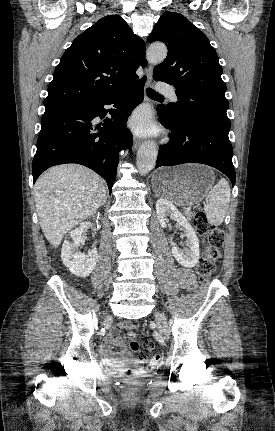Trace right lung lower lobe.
Here are the masks:
<instances>
[{
    "instance_id": "right-lung-lower-lobe-1",
    "label": "right lung lower lobe",
    "mask_w": 275,
    "mask_h": 431,
    "mask_svg": "<svg viewBox=\"0 0 275 431\" xmlns=\"http://www.w3.org/2000/svg\"><path fill=\"white\" fill-rule=\"evenodd\" d=\"M146 78L137 80L123 91L103 98L46 108L42 116L37 151L32 162L34 182L47 168L64 163L85 165L108 184L115 180L118 152L132 147V134L126 122L133 109L143 101ZM104 105H113L111 119L104 118Z\"/></svg>"
}]
</instances>
